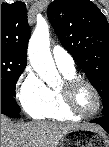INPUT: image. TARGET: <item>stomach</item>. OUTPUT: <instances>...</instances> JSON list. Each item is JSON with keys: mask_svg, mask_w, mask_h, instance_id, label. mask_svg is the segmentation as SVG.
<instances>
[{"mask_svg": "<svg viewBox=\"0 0 109 147\" xmlns=\"http://www.w3.org/2000/svg\"><path fill=\"white\" fill-rule=\"evenodd\" d=\"M60 147H109V138L105 132L92 129L69 131L60 141Z\"/></svg>", "mask_w": 109, "mask_h": 147, "instance_id": "0dacf381", "label": "stomach"}]
</instances>
